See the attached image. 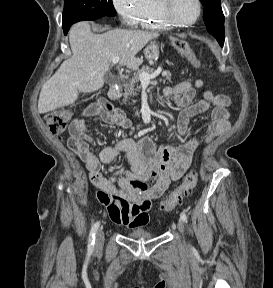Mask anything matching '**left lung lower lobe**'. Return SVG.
Masks as SVG:
<instances>
[{"instance_id":"obj_1","label":"left lung lower lobe","mask_w":273,"mask_h":288,"mask_svg":"<svg viewBox=\"0 0 273 288\" xmlns=\"http://www.w3.org/2000/svg\"><path fill=\"white\" fill-rule=\"evenodd\" d=\"M217 39V41L219 42L220 46L222 47L224 44V37H215Z\"/></svg>"}]
</instances>
